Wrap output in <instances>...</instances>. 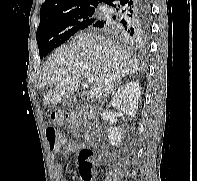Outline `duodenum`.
<instances>
[{
    "label": "duodenum",
    "instance_id": "duodenum-1",
    "mask_svg": "<svg viewBox=\"0 0 197 181\" xmlns=\"http://www.w3.org/2000/svg\"><path fill=\"white\" fill-rule=\"evenodd\" d=\"M83 114L88 120H91L93 118V115L90 110L84 109Z\"/></svg>",
    "mask_w": 197,
    "mask_h": 181
}]
</instances>
